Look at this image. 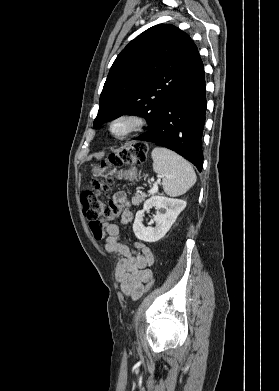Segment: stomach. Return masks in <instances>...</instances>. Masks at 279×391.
<instances>
[{
	"label": "stomach",
	"instance_id": "stomach-1",
	"mask_svg": "<svg viewBox=\"0 0 279 391\" xmlns=\"http://www.w3.org/2000/svg\"><path fill=\"white\" fill-rule=\"evenodd\" d=\"M106 168H101L100 166H93L92 168V173H93V176L95 177H98V176H104V172H105ZM117 173L119 177H125L126 179H134L137 177V170L135 168L131 169V170H127V171H119V172H116V170H112L110 172V174H115ZM108 175H105V177H107Z\"/></svg>",
	"mask_w": 279,
	"mask_h": 391
}]
</instances>
